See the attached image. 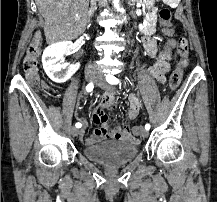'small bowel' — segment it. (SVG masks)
<instances>
[{"instance_id": "c3829d8e", "label": "small bowel", "mask_w": 217, "mask_h": 202, "mask_svg": "<svg viewBox=\"0 0 217 202\" xmlns=\"http://www.w3.org/2000/svg\"><path fill=\"white\" fill-rule=\"evenodd\" d=\"M143 46L146 53L151 58H157L154 65L149 68L150 74L161 79L168 71V62L171 58L170 49L159 50L156 40L151 36H145L143 38ZM115 96V90L110 89L105 91L102 94L100 101L92 108L91 121L97 125V128L94 130L93 136L90 138H85L83 131L79 133V138L85 143V145L91 146L97 140H115L131 144L139 143V136L142 134V131H131V128L126 123H123L121 126L116 128H108L106 110L114 108ZM140 110L141 106L138 98L134 94H130L128 97L127 119H136Z\"/></svg>"}]
</instances>
